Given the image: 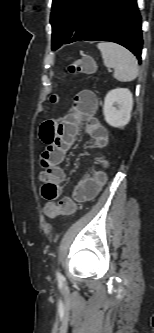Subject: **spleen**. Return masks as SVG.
<instances>
[{
	"mask_svg": "<svg viewBox=\"0 0 154 333\" xmlns=\"http://www.w3.org/2000/svg\"><path fill=\"white\" fill-rule=\"evenodd\" d=\"M97 47L105 66L114 68V77L118 81L129 82L138 76L137 59L129 50L111 42L98 43Z\"/></svg>",
	"mask_w": 154,
	"mask_h": 333,
	"instance_id": "obj_1",
	"label": "spleen"
}]
</instances>
